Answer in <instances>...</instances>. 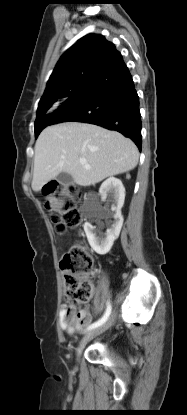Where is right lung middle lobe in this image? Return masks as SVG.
Segmentation results:
<instances>
[{
	"label": "right lung middle lobe",
	"mask_w": 187,
	"mask_h": 415,
	"mask_svg": "<svg viewBox=\"0 0 187 415\" xmlns=\"http://www.w3.org/2000/svg\"><path fill=\"white\" fill-rule=\"evenodd\" d=\"M83 84H85V81L69 89L65 94L61 96V98L57 102L37 110V118L34 124L36 138L45 127L51 124L52 115L56 110L54 112L52 111L56 108H59L66 100H68L71 96L80 91L82 89Z\"/></svg>",
	"instance_id": "right-lung-middle-lobe-1"
}]
</instances>
